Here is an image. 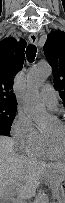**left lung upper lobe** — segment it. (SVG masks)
Instances as JSON below:
<instances>
[{"mask_svg": "<svg viewBox=\"0 0 65 203\" xmlns=\"http://www.w3.org/2000/svg\"><path fill=\"white\" fill-rule=\"evenodd\" d=\"M44 53L52 66L55 89L65 102V33L50 32L44 45Z\"/></svg>", "mask_w": 65, "mask_h": 203, "instance_id": "5c2ea615", "label": "left lung upper lobe"}]
</instances>
